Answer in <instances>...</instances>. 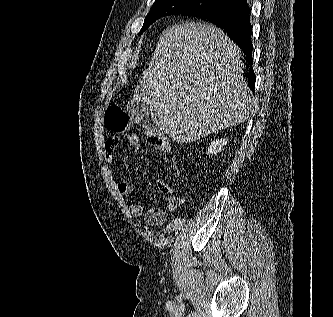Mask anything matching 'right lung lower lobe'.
Returning <instances> with one entry per match:
<instances>
[{
    "mask_svg": "<svg viewBox=\"0 0 333 317\" xmlns=\"http://www.w3.org/2000/svg\"><path fill=\"white\" fill-rule=\"evenodd\" d=\"M251 9L246 0L225 4L214 10L194 15L223 29L227 35L244 51L246 55V80L254 92L256 77L253 73L251 54L253 45L251 41L252 27L250 25Z\"/></svg>",
    "mask_w": 333,
    "mask_h": 317,
    "instance_id": "1",
    "label": "right lung lower lobe"
}]
</instances>
